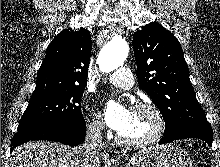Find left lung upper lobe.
<instances>
[{
  "instance_id": "left-lung-upper-lobe-1",
  "label": "left lung upper lobe",
  "mask_w": 220,
  "mask_h": 167,
  "mask_svg": "<svg viewBox=\"0 0 220 167\" xmlns=\"http://www.w3.org/2000/svg\"><path fill=\"white\" fill-rule=\"evenodd\" d=\"M139 86L147 92L165 121L164 136L208 123L189 81L187 63L177 38L156 22L133 35Z\"/></svg>"
}]
</instances>
